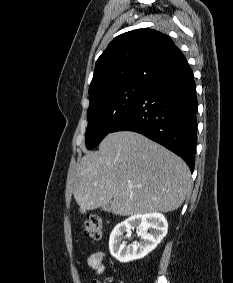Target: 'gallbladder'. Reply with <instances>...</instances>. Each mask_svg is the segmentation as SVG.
Segmentation results:
<instances>
[{"mask_svg": "<svg viewBox=\"0 0 233 283\" xmlns=\"http://www.w3.org/2000/svg\"><path fill=\"white\" fill-rule=\"evenodd\" d=\"M110 203L106 204L104 207H103V210L105 211H110Z\"/></svg>", "mask_w": 233, "mask_h": 283, "instance_id": "1", "label": "gallbladder"}]
</instances>
